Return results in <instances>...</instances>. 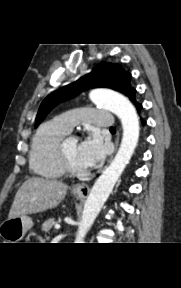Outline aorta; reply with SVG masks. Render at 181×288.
I'll return each instance as SVG.
<instances>
[{"instance_id": "aorta-1", "label": "aorta", "mask_w": 181, "mask_h": 288, "mask_svg": "<svg viewBox=\"0 0 181 288\" xmlns=\"http://www.w3.org/2000/svg\"><path fill=\"white\" fill-rule=\"evenodd\" d=\"M90 99L94 104L118 116L123 128L121 145L114 159L94 183L85 202L75 243L84 238L112 192L116 182L129 163L139 139V118L134 106L123 95L105 90H93Z\"/></svg>"}]
</instances>
